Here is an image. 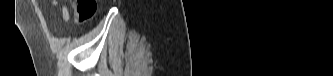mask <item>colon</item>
I'll use <instances>...</instances> for the list:
<instances>
[{
  "instance_id": "5ec220e1",
  "label": "colon",
  "mask_w": 333,
  "mask_h": 76,
  "mask_svg": "<svg viewBox=\"0 0 333 76\" xmlns=\"http://www.w3.org/2000/svg\"><path fill=\"white\" fill-rule=\"evenodd\" d=\"M75 16L80 23L94 17L97 12L96 0H77L74 2Z\"/></svg>"
}]
</instances>
